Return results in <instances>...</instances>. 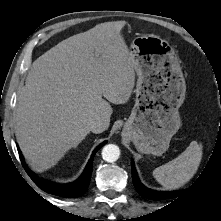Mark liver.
I'll return each instance as SVG.
<instances>
[{"label": "liver", "instance_id": "liver-1", "mask_svg": "<svg viewBox=\"0 0 221 221\" xmlns=\"http://www.w3.org/2000/svg\"><path fill=\"white\" fill-rule=\"evenodd\" d=\"M125 24H98L33 62L14 120L20 149L35 170L53 167L85 139L92 121L101 119L109 126L110 103L129 100L135 63L121 34Z\"/></svg>", "mask_w": 221, "mask_h": 221}]
</instances>
